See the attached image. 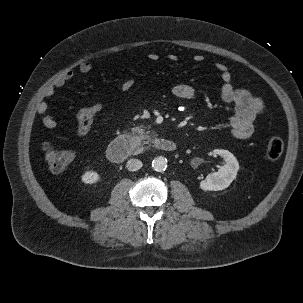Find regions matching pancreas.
I'll return each instance as SVG.
<instances>
[{
	"label": "pancreas",
	"instance_id": "cf45deb5",
	"mask_svg": "<svg viewBox=\"0 0 303 303\" xmlns=\"http://www.w3.org/2000/svg\"><path fill=\"white\" fill-rule=\"evenodd\" d=\"M133 134L138 135V141L142 143H148L151 139V137L148 135V132H145V130L142 127H136L132 130Z\"/></svg>",
	"mask_w": 303,
	"mask_h": 303
}]
</instances>
